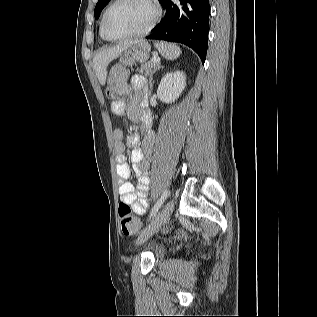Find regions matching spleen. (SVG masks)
<instances>
[{
  "mask_svg": "<svg viewBox=\"0 0 317 317\" xmlns=\"http://www.w3.org/2000/svg\"><path fill=\"white\" fill-rule=\"evenodd\" d=\"M155 47L158 49L161 55L168 60L177 59L181 54L180 47H178L175 44L162 42V43H156Z\"/></svg>",
  "mask_w": 317,
  "mask_h": 317,
  "instance_id": "obj_1",
  "label": "spleen"
}]
</instances>
